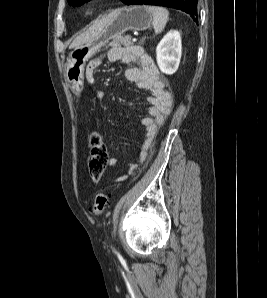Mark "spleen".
Returning <instances> with one entry per match:
<instances>
[{
    "label": "spleen",
    "instance_id": "1",
    "mask_svg": "<svg viewBox=\"0 0 267 298\" xmlns=\"http://www.w3.org/2000/svg\"><path fill=\"white\" fill-rule=\"evenodd\" d=\"M145 8L153 15V28L156 34L161 33L169 19L167 9L158 6H145Z\"/></svg>",
    "mask_w": 267,
    "mask_h": 298
}]
</instances>
